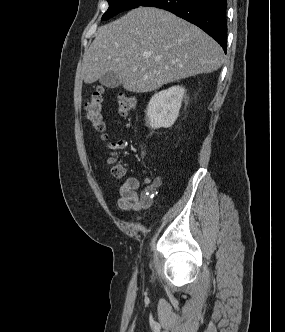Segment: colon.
I'll list each match as a JSON object with an SVG mask.
<instances>
[{
	"label": "colon",
	"mask_w": 285,
	"mask_h": 332,
	"mask_svg": "<svg viewBox=\"0 0 285 332\" xmlns=\"http://www.w3.org/2000/svg\"><path fill=\"white\" fill-rule=\"evenodd\" d=\"M103 88L97 87L88 97L84 104L85 116L89 121L90 125L95 131L101 134L103 139H106L105 130L106 125L103 116ZM117 111L120 116H127L131 111L134 110L136 101L135 98L128 93H119L117 95ZM122 146L120 142L110 143L112 150H117ZM111 175L115 179L124 177L126 170L125 168L117 163L115 157H111Z\"/></svg>",
	"instance_id": "1"
}]
</instances>
